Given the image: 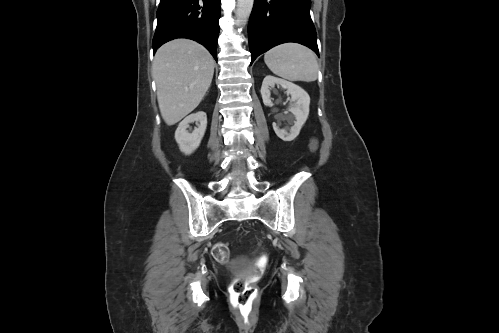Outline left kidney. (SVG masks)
Listing matches in <instances>:
<instances>
[{
  "label": "left kidney",
  "mask_w": 499,
  "mask_h": 333,
  "mask_svg": "<svg viewBox=\"0 0 499 333\" xmlns=\"http://www.w3.org/2000/svg\"><path fill=\"white\" fill-rule=\"evenodd\" d=\"M275 85H280L287 90V94L291 95V103L289 111L294 116L293 126L288 128H280L277 123L273 122V129L276 135L283 141H292L300 133V130L306 122L309 115L310 97L307 92L298 85L289 81L267 75L262 83L261 95L263 103L266 106H272L270 89Z\"/></svg>",
  "instance_id": "5707ae66"
}]
</instances>
